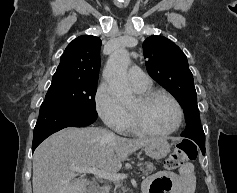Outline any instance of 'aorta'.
Returning a JSON list of instances; mask_svg holds the SVG:
<instances>
[{"label": "aorta", "instance_id": "obj_1", "mask_svg": "<svg viewBox=\"0 0 237 193\" xmlns=\"http://www.w3.org/2000/svg\"><path fill=\"white\" fill-rule=\"evenodd\" d=\"M129 62L128 51L125 48H120L109 57L103 71L111 93L122 104H128L133 100V93L126 75Z\"/></svg>", "mask_w": 237, "mask_h": 193}]
</instances>
